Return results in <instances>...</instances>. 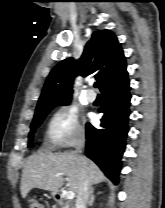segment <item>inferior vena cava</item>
Masks as SVG:
<instances>
[{"mask_svg":"<svg viewBox=\"0 0 165 208\" xmlns=\"http://www.w3.org/2000/svg\"><path fill=\"white\" fill-rule=\"evenodd\" d=\"M85 139L84 136L80 137L79 141L76 144L74 155L78 160H81V153L84 148ZM90 197V183L86 176L85 168H81V185L76 198L75 208H86L87 203L89 202Z\"/></svg>","mask_w":165,"mask_h":208,"instance_id":"obj_1","label":"inferior vena cava"}]
</instances>
